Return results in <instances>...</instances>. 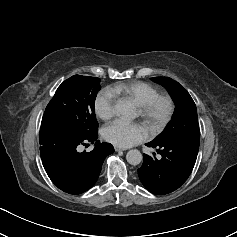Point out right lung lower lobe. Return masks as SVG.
Instances as JSON below:
<instances>
[{"label": "right lung lower lobe", "instance_id": "right-lung-lower-lobe-1", "mask_svg": "<svg viewBox=\"0 0 237 237\" xmlns=\"http://www.w3.org/2000/svg\"><path fill=\"white\" fill-rule=\"evenodd\" d=\"M97 131L75 136L57 127H41L39 135L43 166L51 181L62 191L80 194L97 181L104 159L114 152L109 143L97 140ZM94 143L91 152H78L79 145Z\"/></svg>", "mask_w": 237, "mask_h": 237}]
</instances>
